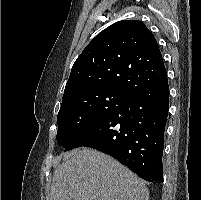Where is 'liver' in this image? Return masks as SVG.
<instances>
[{"instance_id":"liver-1","label":"liver","mask_w":201,"mask_h":200,"mask_svg":"<svg viewBox=\"0 0 201 200\" xmlns=\"http://www.w3.org/2000/svg\"><path fill=\"white\" fill-rule=\"evenodd\" d=\"M49 200H149V192L117 160L91 148H79L55 169Z\"/></svg>"}]
</instances>
